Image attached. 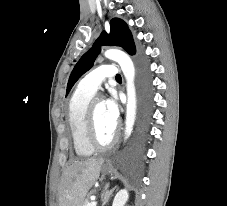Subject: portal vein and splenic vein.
I'll use <instances>...</instances> for the list:
<instances>
[{
    "label": "portal vein and splenic vein",
    "instance_id": "portal-vein-and-splenic-vein-1",
    "mask_svg": "<svg viewBox=\"0 0 227 206\" xmlns=\"http://www.w3.org/2000/svg\"><path fill=\"white\" fill-rule=\"evenodd\" d=\"M87 206H97V202L96 201L89 202Z\"/></svg>",
    "mask_w": 227,
    "mask_h": 206
}]
</instances>
